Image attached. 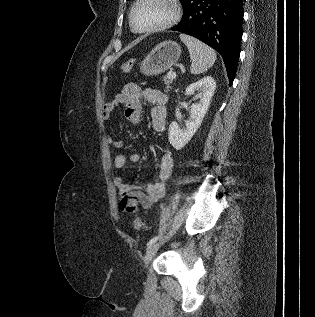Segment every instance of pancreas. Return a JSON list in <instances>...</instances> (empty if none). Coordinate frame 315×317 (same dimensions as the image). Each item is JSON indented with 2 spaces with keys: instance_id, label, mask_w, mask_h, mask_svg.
<instances>
[{
  "instance_id": "obj_1",
  "label": "pancreas",
  "mask_w": 315,
  "mask_h": 317,
  "mask_svg": "<svg viewBox=\"0 0 315 317\" xmlns=\"http://www.w3.org/2000/svg\"><path fill=\"white\" fill-rule=\"evenodd\" d=\"M174 80H175V78L170 77L169 74H167L164 77L163 81H164V84H165V91H169V89L171 87L170 85L173 83Z\"/></svg>"
}]
</instances>
